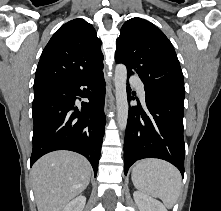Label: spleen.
<instances>
[{
  "label": "spleen",
  "mask_w": 221,
  "mask_h": 211,
  "mask_svg": "<svg viewBox=\"0 0 221 211\" xmlns=\"http://www.w3.org/2000/svg\"><path fill=\"white\" fill-rule=\"evenodd\" d=\"M131 178L139 191L161 199L167 208H172L182 189L180 172L163 160L144 159L137 162Z\"/></svg>",
  "instance_id": "1"
}]
</instances>
